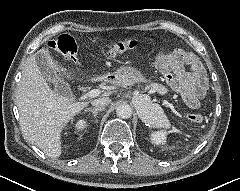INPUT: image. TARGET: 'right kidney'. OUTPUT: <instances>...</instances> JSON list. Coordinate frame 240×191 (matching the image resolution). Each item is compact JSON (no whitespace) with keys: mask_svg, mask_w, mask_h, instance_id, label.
<instances>
[{"mask_svg":"<svg viewBox=\"0 0 240 191\" xmlns=\"http://www.w3.org/2000/svg\"><path fill=\"white\" fill-rule=\"evenodd\" d=\"M86 126H87V123L84 120H79L75 124V128L77 131L83 130Z\"/></svg>","mask_w":240,"mask_h":191,"instance_id":"1","label":"right kidney"}]
</instances>
